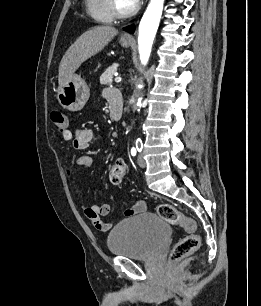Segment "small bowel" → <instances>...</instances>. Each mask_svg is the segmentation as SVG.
<instances>
[{
  "label": "small bowel",
  "instance_id": "small-bowel-1",
  "mask_svg": "<svg viewBox=\"0 0 261 306\" xmlns=\"http://www.w3.org/2000/svg\"><path fill=\"white\" fill-rule=\"evenodd\" d=\"M105 98L112 103L113 101H120L121 96L115 90H106ZM62 137L65 141L72 142V145L77 150H84L87 149L93 139H94V132L92 129L89 128H79L75 131L65 130L62 133ZM92 158L88 155H82L77 157L73 161V165L77 166L81 169H87L92 165ZM73 174L71 166L66 167V175L71 177ZM145 209V205L143 203H138L135 206L126 210V216H132L137 214ZM82 210L87 216V218L94 224V226L100 231H108L111 228V223L103 221L102 217L108 216L111 212L110 204H102V205H92V206H82Z\"/></svg>",
  "mask_w": 261,
  "mask_h": 306
}]
</instances>
